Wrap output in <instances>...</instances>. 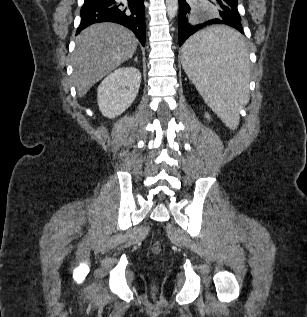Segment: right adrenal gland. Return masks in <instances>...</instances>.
<instances>
[{"label": "right adrenal gland", "mask_w": 307, "mask_h": 317, "mask_svg": "<svg viewBox=\"0 0 307 317\" xmlns=\"http://www.w3.org/2000/svg\"><path fill=\"white\" fill-rule=\"evenodd\" d=\"M134 61H135V62H138V59H137V57H135V58H134Z\"/></svg>", "instance_id": "obj_1"}]
</instances>
